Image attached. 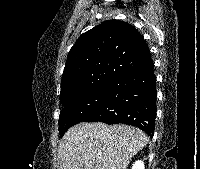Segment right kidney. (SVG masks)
<instances>
[{"mask_svg": "<svg viewBox=\"0 0 200 169\" xmlns=\"http://www.w3.org/2000/svg\"><path fill=\"white\" fill-rule=\"evenodd\" d=\"M132 169H145L143 161H140V160L136 161L133 164Z\"/></svg>", "mask_w": 200, "mask_h": 169, "instance_id": "right-kidney-1", "label": "right kidney"}]
</instances>
